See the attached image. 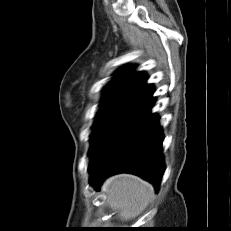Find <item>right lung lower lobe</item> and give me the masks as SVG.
Wrapping results in <instances>:
<instances>
[{"label":"right lung lower lobe","mask_w":231,"mask_h":231,"mask_svg":"<svg viewBox=\"0 0 231 231\" xmlns=\"http://www.w3.org/2000/svg\"><path fill=\"white\" fill-rule=\"evenodd\" d=\"M152 107L113 136L89 162L90 183L99 189L116 173H133L159 188L165 166L160 119Z\"/></svg>","instance_id":"right-lung-lower-lobe-1"}]
</instances>
